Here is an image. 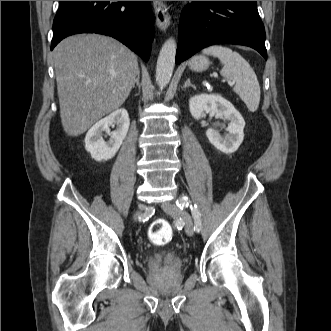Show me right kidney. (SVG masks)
<instances>
[{"mask_svg":"<svg viewBox=\"0 0 331 331\" xmlns=\"http://www.w3.org/2000/svg\"><path fill=\"white\" fill-rule=\"evenodd\" d=\"M116 125L110 139L105 141L103 132H109ZM130 119L125 109H118L95 123L85 137V149L96 161H107L115 156L129 130Z\"/></svg>","mask_w":331,"mask_h":331,"instance_id":"1","label":"right kidney"}]
</instances>
